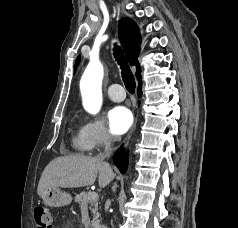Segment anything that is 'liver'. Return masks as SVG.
I'll use <instances>...</instances> for the list:
<instances>
[{
  "mask_svg": "<svg viewBox=\"0 0 238 228\" xmlns=\"http://www.w3.org/2000/svg\"><path fill=\"white\" fill-rule=\"evenodd\" d=\"M100 188L115 177L110 165L97 157L68 155L53 159L44 169L37 188L41 196L47 187L77 188L94 184Z\"/></svg>",
  "mask_w": 238,
  "mask_h": 228,
  "instance_id": "liver-1",
  "label": "liver"
}]
</instances>
